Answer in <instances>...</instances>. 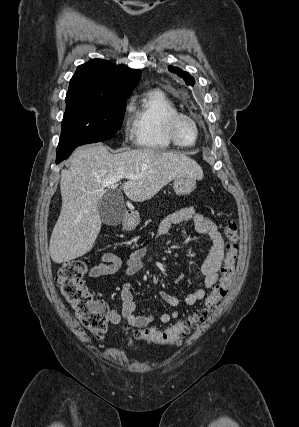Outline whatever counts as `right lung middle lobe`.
<instances>
[{"instance_id": "dd1d6c3e", "label": "right lung middle lobe", "mask_w": 299, "mask_h": 427, "mask_svg": "<svg viewBox=\"0 0 299 427\" xmlns=\"http://www.w3.org/2000/svg\"><path fill=\"white\" fill-rule=\"evenodd\" d=\"M127 98L80 97L66 100L57 151L112 138L121 127Z\"/></svg>"}]
</instances>
